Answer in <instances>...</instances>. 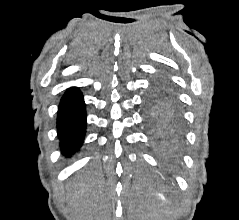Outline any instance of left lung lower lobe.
<instances>
[{
    "mask_svg": "<svg viewBox=\"0 0 239 220\" xmlns=\"http://www.w3.org/2000/svg\"><path fill=\"white\" fill-rule=\"evenodd\" d=\"M155 142L162 153L166 156H173L175 145L179 136V112L175 111L173 116L169 117L167 122L156 129Z\"/></svg>",
    "mask_w": 239,
    "mask_h": 220,
    "instance_id": "0a47b994",
    "label": "left lung lower lobe"
}]
</instances>
